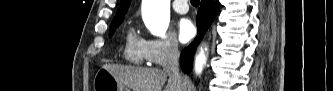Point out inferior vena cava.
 I'll list each match as a JSON object with an SVG mask.
<instances>
[{"mask_svg":"<svg viewBox=\"0 0 333 91\" xmlns=\"http://www.w3.org/2000/svg\"><path fill=\"white\" fill-rule=\"evenodd\" d=\"M179 56L178 44L176 42L171 43L166 51L163 71L166 72L170 78L181 82L183 78L179 71Z\"/></svg>","mask_w":333,"mask_h":91,"instance_id":"602c4592","label":"inferior vena cava"}]
</instances>
